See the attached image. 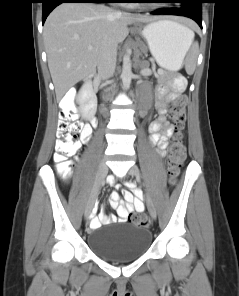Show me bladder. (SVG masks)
Listing matches in <instances>:
<instances>
[{
    "label": "bladder",
    "instance_id": "obj_1",
    "mask_svg": "<svg viewBox=\"0 0 239 296\" xmlns=\"http://www.w3.org/2000/svg\"><path fill=\"white\" fill-rule=\"evenodd\" d=\"M151 243L152 235L148 229L129 223L102 226L89 237L91 250L101 258L114 262L141 257Z\"/></svg>",
    "mask_w": 239,
    "mask_h": 296
}]
</instances>
